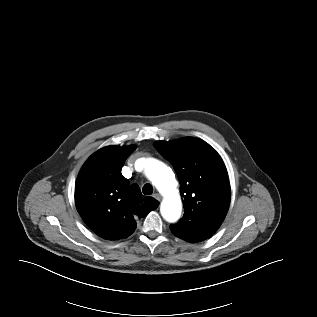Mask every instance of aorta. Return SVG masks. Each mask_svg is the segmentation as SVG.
<instances>
[{"label":"aorta","mask_w":317,"mask_h":317,"mask_svg":"<svg viewBox=\"0 0 317 317\" xmlns=\"http://www.w3.org/2000/svg\"><path fill=\"white\" fill-rule=\"evenodd\" d=\"M143 175L149 179L163 195L160 206L162 217L170 222H176L182 212V202L177 191V181L169 165L154 157L144 158Z\"/></svg>","instance_id":"aorta-1"}]
</instances>
